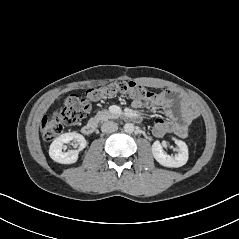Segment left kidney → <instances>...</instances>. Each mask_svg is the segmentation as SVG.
<instances>
[{
	"mask_svg": "<svg viewBox=\"0 0 239 239\" xmlns=\"http://www.w3.org/2000/svg\"><path fill=\"white\" fill-rule=\"evenodd\" d=\"M175 143L179 148V152L175 156L167 155L159 141H155L152 145V154L156 161L165 167H181L188 160V147L185 142L175 139Z\"/></svg>",
	"mask_w": 239,
	"mask_h": 239,
	"instance_id": "1",
	"label": "left kidney"
}]
</instances>
